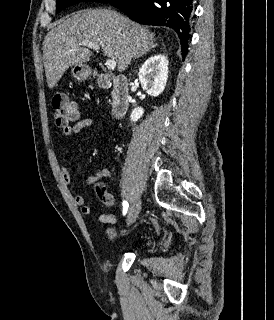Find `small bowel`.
Here are the masks:
<instances>
[{
  "mask_svg": "<svg viewBox=\"0 0 274 320\" xmlns=\"http://www.w3.org/2000/svg\"><path fill=\"white\" fill-rule=\"evenodd\" d=\"M91 125H92V120L90 118L86 117V118L79 119L73 125H70L66 129H64V135L65 137L70 138L76 134H79L82 130L90 127ZM59 172H60V176L62 178L63 183L66 186H69L71 183V177H70V173L67 166L65 164H61L59 168ZM110 175H111L110 167L104 166L95 174L87 176L84 182L86 185H93L109 177ZM73 200L77 206L81 207L82 214L86 216H89L92 214L93 208L91 205L85 203V197L82 194H76ZM99 206L102 207L103 204H100ZM99 221L106 224H112L115 222V217L111 214H102L99 216Z\"/></svg>",
  "mask_w": 274,
  "mask_h": 320,
  "instance_id": "1",
  "label": "small bowel"
}]
</instances>
